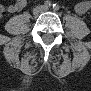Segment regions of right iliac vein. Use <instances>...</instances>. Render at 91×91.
<instances>
[{
	"label": "right iliac vein",
	"mask_w": 91,
	"mask_h": 91,
	"mask_svg": "<svg viewBox=\"0 0 91 91\" xmlns=\"http://www.w3.org/2000/svg\"><path fill=\"white\" fill-rule=\"evenodd\" d=\"M43 8L41 6H37L33 9V15L38 16L42 12Z\"/></svg>",
	"instance_id": "63e3f726"
}]
</instances>
